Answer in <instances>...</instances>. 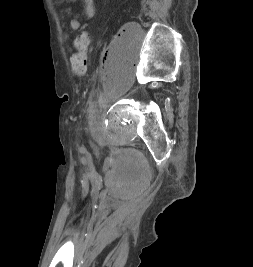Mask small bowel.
<instances>
[{
    "label": "small bowel",
    "mask_w": 253,
    "mask_h": 267,
    "mask_svg": "<svg viewBox=\"0 0 253 267\" xmlns=\"http://www.w3.org/2000/svg\"><path fill=\"white\" fill-rule=\"evenodd\" d=\"M81 2L85 16L92 19L96 13L93 0H81ZM69 26L73 31H79L81 30L82 24L77 18H72L70 19ZM65 38L68 40V35H65Z\"/></svg>",
    "instance_id": "small-bowel-1"
}]
</instances>
